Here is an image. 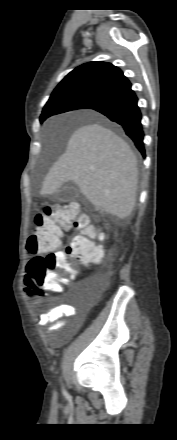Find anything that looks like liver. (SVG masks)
Instances as JSON below:
<instances>
[{
    "mask_svg": "<svg viewBox=\"0 0 177 440\" xmlns=\"http://www.w3.org/2000/svg\"><path fill=\"white\" fill-rule=\"evenodd\" d=\"M69 181L96 210L125 219L136 203V156L112 130L99 124L84 125L69 138L66 151L44 178L40 194L52 195Z\"/></svg>",
    "mask_w": 177,
    "mask_h": 440,
    "instance_id": "liver-1",
    "label": "liver"
}]
</instances>
